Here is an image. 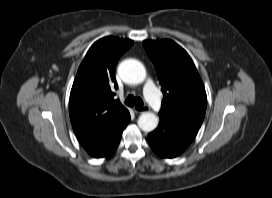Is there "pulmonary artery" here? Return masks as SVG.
Instances as JSON below:
<instances>
[{
    "label": "pulmonary artery",
    "mask_w": 272,
    "mask_h": 198,
    "mask_svg": "<svg viewBox=\"0 0 272 198\" xmlns=\"http://www.w3.org/2000/svg\"><path fill=\"white\" fill-rule=\"evenodd\" d=\"M144 94H145V97H146V100L148 101V103L156 111H159L162 109L161 99H160L158 91L152 81H150V80L147 81L145 88H144Z\"/></svg>",
    "instance_id": "1"
}]
</instances>
